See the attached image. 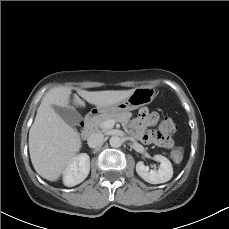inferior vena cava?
I'll return each instance as SVG.
<instances>
[{"mask_svg":"<svg viewBox=\"0 0 229 229\" xmlns=\"http://www.w3.org/2000/svg\"><path fill=\"white\" fill-rule=\"evenodd\" d=\"M103 142H104V135L102 133H92L87 140V143L91 148H96L98 146H101Z\"/></svg>","mask_w":229,"mask_h":229,"instance_id":"obj_1","label":"inferior vena cava"}]
</instances>
